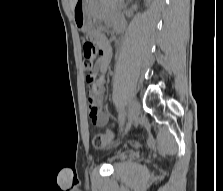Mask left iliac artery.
<instances>
[{"mask_svg":"<svg viewBox=\"0 0 223 191\" xmlns=\"http://www.w3.org/2000/svg\"><path fill=\"white\" fill-rule=\"evenodd\" d=\"M125 115H126V111H125V104L122 103L119 109V127H122L124 122H125Z\"/></svg>","mask_w":223,"mask_h":191,"instance_id":"44dca946","label":"left iliac artery"}]
</instances>
